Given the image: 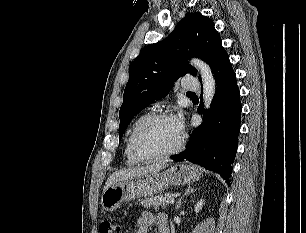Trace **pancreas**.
<instances>
[{
  "label": "pancreas",
  "mask_w": 306,
  "mask_h": 233,
  "mask_svg": "<svg viewBox=\"0 0 306 233\" xmlns=\"http://www.w3.org/2000/svg\"><path fill=\"white\" fill-rule=\"evenodd\" d=\"M169 198L171 197L168 194H161L145 198L144 200H141L140 203L145 208H154L157 210L160 206L162 208H166L167 205L165 204V202Z\"/></svg>",
  "instance_id": "cf45deb5"
}]
</instances>
